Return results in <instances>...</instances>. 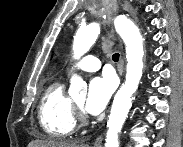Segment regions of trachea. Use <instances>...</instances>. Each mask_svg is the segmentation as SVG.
I'll use <instances>...</instances> for the list:
<instances>
[{
	"mask_svg": "<svg viewBox=\"0 0 183 147\" xmlns=\"http://www.w3.org/2000/svg\"><path fill=\"white\" fill-rule=\"evenodd\" d=\"M112 60H113L114 62H117V61L119 60V53L113 54Z\"/></svg>",
	"mask_w": 183,
	"mask_h": 147,
	"instance_id": "trachea-1",
	"label": "trachea"
}]
</instances>
